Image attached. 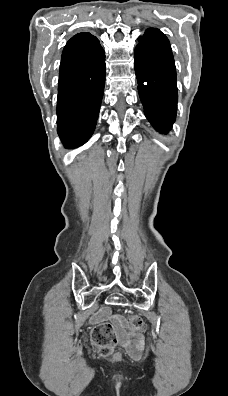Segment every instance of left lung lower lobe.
Here are the masks:
<instances>
[{"mask_svg":"<svg viewBox=\"0 0 228 396\" xmlns=\"http://www.w3.org/2000/svg\"><path fill=\"white\" fill-rule=\"evenodd\" d=\"M135 48V71L144 112L153 127L168 132L176 118V68L170 43L158 29H147Z\"/></svg>","mask_w":228,"mask_h":396,"instance_id":"left-lung-lower-lobe-1","label":"left lung lower lobe"}]
</instances>
